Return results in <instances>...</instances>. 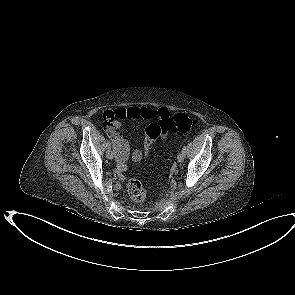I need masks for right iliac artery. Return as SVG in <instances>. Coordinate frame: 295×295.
<instances>
[{"label": "right iliac artery", "mask_w": 295, "mask_h": 295, "mask_svg": "<svg viewBox=\"0 0 295 295\" xmlns=\"http://www.w3.org/2000/svg\"><path fill=\"white\" fill-rule=\"evenodd\" d=\"M106 147H107V148L111 147L110 142L107 143Z\"/></svg>", "instance_id": "right-iliac-artery-1"}]
</instances>
